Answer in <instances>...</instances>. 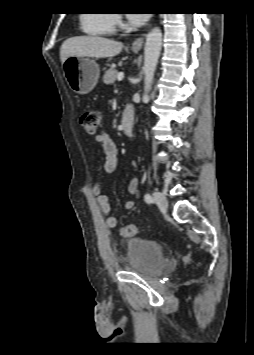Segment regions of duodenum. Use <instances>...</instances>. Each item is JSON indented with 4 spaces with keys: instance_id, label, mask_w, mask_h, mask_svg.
<instances>
[{
    "instance_id": "410a0bca",
    "label": "duodenum",
    "mask_w": 254,
    "mask_h": 355,
    "mask_svg": "<svg viewBox=\"0 0 254 355\" xmlns=\"http://www.w3.org/2000/svg\"><path fill=\"white\" fill-rule=\"evenodd\" d=\"M132 110V106H127L122 116V129L126 135H131L134 129V111Z\"/></svg>"
}]
</instances>
